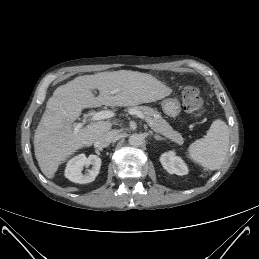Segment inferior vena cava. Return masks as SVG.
Returning <instances> with one entry per match:
<instances>
[{
    "label": "inferior vena cava",
    "mask_w": 259,
    "mask_h": 259,
    "mask_svg": "<svg viewBox=\"0 0 259 259\" xmlns=\"http://www.w3.org/2000/svg\"><path fill=\"white\" fill-rule=\"evenodd\" d=\"M116 134L117 133L114 130L106 132L98 140L95 141V147L103 148L109 146V144L114 140Z\"/></svg>",
    "instance_id": "602c4592"
}]
</instances>
